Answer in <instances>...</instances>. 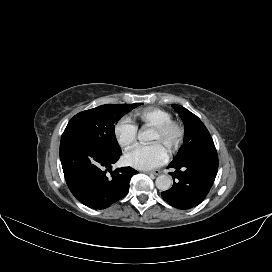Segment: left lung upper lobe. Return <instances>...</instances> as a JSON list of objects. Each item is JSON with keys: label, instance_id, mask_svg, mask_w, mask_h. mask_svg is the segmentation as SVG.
<instances>
[{"label": "left lung upper lobe", "instance_id": "obj_1", "mask_svg": "<svg viewBox=\"0 0 272 272\" xmlns=\"http://www.w3.org/2000/svg\"><path fill=\"white\" fill-rule=\"evenodd\" d=\"M172 107L181 116L185 129L184 144L173 161H179L194 152L214 146L210 133L196 115L180 105L175 104Z\"/></svg>", "mask_w": 272, "mask_h": 272}]
</instances>
